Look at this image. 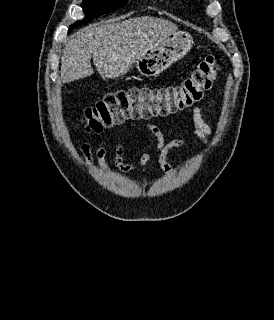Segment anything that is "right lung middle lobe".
<instances>
[{
    "instance_id": "1",
    "label": "right lung middle lobe",
    "mask_w": 274,
    "mask_h": 320,
    "mask_svg": "<svg viewBox=\"0 0 274 320\" xmlns=\"http://www.w3.org/2000/svg\"><path fill=\"white\" fill-rule=\"evenodd\" d=\"M128 0H83L82 7L86 18L70 25L69 30L91 22L96 16L123 7Z\"/></svg>"
}]
</instances>
